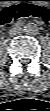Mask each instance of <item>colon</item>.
<instances>
[{
  "label": "colon",
  "instance_id": "colon-1",
  "mask_svg": "<svg viewBox=\"0 0 50 111\" xmlns=\"http://www.w3.org/2000/svg\"><path fill=\"white\" fill-rule=\"evenodd\" d=\"M29 17L41 19L43 21H49L50 10L45 6L30 2H23L2 9L0 13V23L1 25L6 26L14 20Z\"/></svg>",
  "mask_w": 50,
  "mask_h": 111
}]
</instances>
